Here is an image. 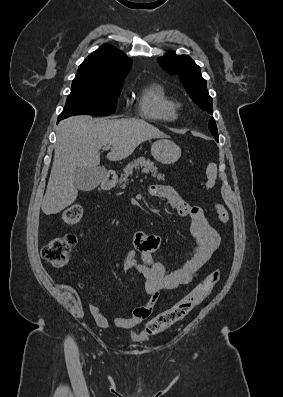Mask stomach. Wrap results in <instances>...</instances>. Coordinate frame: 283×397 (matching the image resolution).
<instances>
[{"mask_svg": "<svg viewBox=\"0 0 283 397\" xmlns=\"http://www.w3.org/2000/svg\"><path fill=\"white\" fill-rule=\"evenodd\" d=\"M151 154L162 164H173L180 158L181 148L171 140L161 139L152 144Z\"/></svg>", "mask_w": 283, "mask_h": 397, "instance_id": "1", "label": "stomach"}]
</instances>
